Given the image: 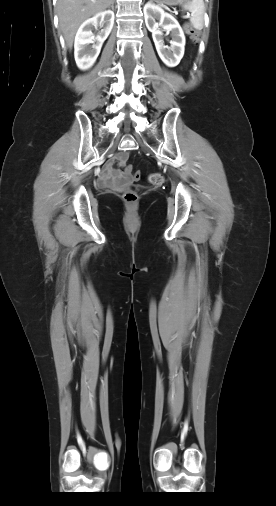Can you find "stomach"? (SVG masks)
Instances as JSON below:
<instances>
[{"label": "stomach", "instance_id": "0dacf381", "mask_svg": "<svg viewBox=\"0 0 276 506\" xmlns=\"http://www.w3.org/2000/svg\"><path fill=\"white\" fill-rule=\"evenodd\" d=\"M159 5H183L187 4L188 0H154Z\"/></svg>", "mask_w": 276, "mask_h": 506}]
</instances>
